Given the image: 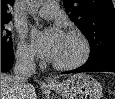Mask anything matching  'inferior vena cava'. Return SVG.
Listing matches in <instances>:
<instances>
[{
    "label": "inferior vena cava",
    "mask_w": 115,
    "mask_h": 99,
    "mask_svg": "<svg viewBox=\"0 0 115 99\" xmlns=\"http://www.w3.org/2000/svg\"><path fill=\"white\" fill-rule=\"evenodd\" d=\"M35 71L36 65L32 55L28 53H18L16 55L13 81L17 93L23 95L25 89L27 88L26 81L35 73Z\"/></svg>",
    "instance_id": "602c4592"
}]
</instances>
